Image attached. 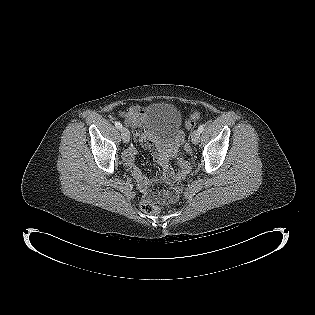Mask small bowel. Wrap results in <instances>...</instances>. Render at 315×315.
<instances>
[{"instance_id":"1","label":"small bowel","mask_w":315,"mask_h":315,"mask_svg":"<svg viewBox=\"0 0 315 315\" xmlns=\"http://www.w3.org/2000/svg\"><path fill=\"white\" fill-rule=\"evenodd\" d=\"M145 109L133 105L127 111L121 112L124 122L132 126L135 130V137L137 141L141 142L143 146L152 151L154 160L162 168V178L164 180L173 179L176 176L175 171L171 170L168 165V160L174 155V149L170 146H160L155 143L148 135L143 131L142 125L144 120ZM136 150L135 148H129L124 156V160L132 176L134 177L140 191L149 195L151 191L152 182L149 180L138 168L135 161ZM159 180V179H157Z\"/></svg>"}]
</instances>
